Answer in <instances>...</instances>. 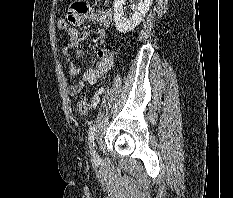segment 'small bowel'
Listing matches in <instances>:
<instances>
[{
	"label": "small bowel",
	"instance_id": "small-bowel-1",
	"mask_svg": "<svg viewBox=\"0 0 233 198\" xmlns=\"http://www.w3.org/2000/svg\"><path fill=\"white\" fill-rule=\"evenodd\" d=\"M67 18L71 27L67 29L69 41L63 48V55L69 67V75L75 77L81 71L78 60L84 56L79 45L90 34L89 31H81L79 27L86 20H91L100 27L96 32L102 35L101 28L111 24L113 13L109 9L95 12L87 3L76 1L70 6ZM94 61L95 66L84 72L81 81L68 86L67 94L69 97H76L86 84H94L104 76L113 64V53L106 48L99 49L95 52Z\"/></svg>",
	"mask_w": 233,
	"mask_h": 198
}]
</instances>
